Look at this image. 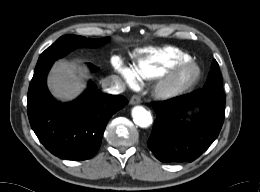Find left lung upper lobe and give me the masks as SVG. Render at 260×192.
Wrapping results in <instances>:
<instances>
[{
	"mask_svg": "<svg viewBox=\"0 0 260 192\" xmlns=\"http://www.w3.org/2000/svg\"><path fill=\"white\" fill-rule=\"evenodd\" d=\"M203 88H222V77L216 60H213L207 83Z\"/></svg>",
	"mask_w": 260,
	"mask_h": 192,
	"instance_id": "obj_1",
	"label": "left lung upper lobe"
}]
</instances>
